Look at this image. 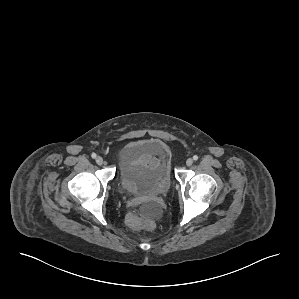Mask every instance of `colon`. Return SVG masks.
<instances>
[{"mask_svg": "<svg viewBox=\"0 0 299 299\" xmlns=\"http://www.w3.org/2000/svg\"><path fill=\"white\" fill-rule=\"evenodd\" d=\"M126 221L129 226L135 228L144 227L147 229H152L154 227V223L150 218L144 217L138 212L129 213Z\"/></svg>", "mask_w": 299, "mask_h": 299, "instance_id": "colon-1", "label": "colon"}]
</instances>
